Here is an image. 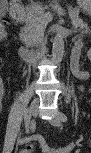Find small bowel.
Segmentation results:
<instances>
[{"label":"small bowel","mask_w":91,"mask_h":153,"mask_svg":"<svg viewBox=\"0 0 91 153\" xmlns=\"http://www.w3.org/2000/svg\"><path fill=\"white\" fill-rule=\"evenodd\" d=\"M6 36V30L5 29H0V37H5ZM78 72H75V74H77ZM34 139L38 140L39 143H44L45 140L44 138H42L41 136H34ZM28 139L26 138H19L16 140L17 144L22 145L24 143L27 142ZM74 145H68L64 148H59V149H51V148H42L44 152H48V153H69L71 152V150L73 149Z\"/></svg>","instance_id":"c3829d8e"}]
</instances>
